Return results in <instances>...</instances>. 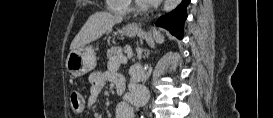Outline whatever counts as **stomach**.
I'll return each instance as SVG.
<instances>
[{
	"mask_svg": "<svg viewBox=\"0 0 273 118\" xmlns=\"http://www.w3.org/2000/svg\"><path fill=\"white\" fill-rule=\"evenodd\" d=\"M139 28L128 25L123 29L125 35L135 36ZM96 66V54L90 46L72 50L66 59L67 71L74 77H80L92 71Z\"/></svg>",
	"mask_w": 273,
	"mask_h": 118,
	"instance_id": "stomach-1",
	"label": "stomach"
}]
</instances>
